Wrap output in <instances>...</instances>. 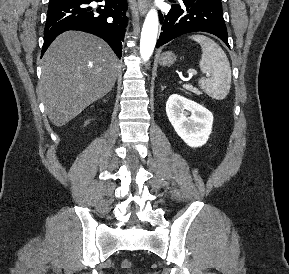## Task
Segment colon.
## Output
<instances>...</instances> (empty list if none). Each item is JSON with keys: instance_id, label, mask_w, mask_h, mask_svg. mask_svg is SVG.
<instances>
[{"instance_id": "1", "label": "colon", "mask_w": 289, "mask_h": 274, "mask_svg": "<svg viewBox=\"0 0 289 274\" xmlns=\"http://www.w3.org/2000/svg\"><path fill=\"white\" fill-rule=\"evenodd\" d=\"M132 266H133V263H132V261H130V260H124V261L122 262V268H123V269L129 270V269L132 268Z\"/></svg>"}]
</instances>
